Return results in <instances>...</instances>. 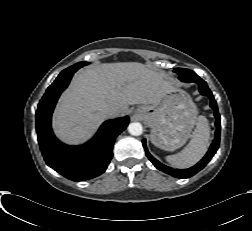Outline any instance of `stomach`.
<instances>
[{
    "label": "stomach",
    "mask_w": 252,
    "mask_h": 231,
    "mask_svg": "<svg viewBox=\"0 0 252 231\" xmlns=\"http://www.w3.org/2000/svg\"><path fill=\"white\" fill-rule=\"evenodd\" d=\"M136 116L151 127L150 137L155 146L174 151L190 137L197 109L190 96L178 90L166 94L157 103L138 107Z\"/></svg>",
    "instance_id": "obj_1"
}]
</instances>
